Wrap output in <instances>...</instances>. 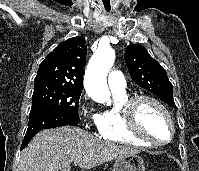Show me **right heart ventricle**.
I'll return each instance as SVG.
<instances>
[{"instance_id": "e07e8e85", "label": "right heart ventricle", "mask_w": 199, "mask_h": 171, "mask_svg": "<svg viewBox=\"0 0 199 171\" xmlns=\"http://www.w3.org/2000/svg\"><path fill=\"white\" fill-rule=\"evenodd\" d=\"M114 105L101 112L99 115L98 134L101 138L135 146L152 147L151 144L132 135L125 121L123 105L130 97L124 89L123 91H112Z\"/></svg>"}]
</instances>
